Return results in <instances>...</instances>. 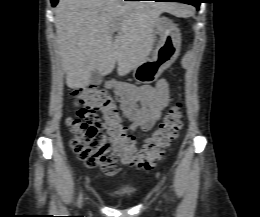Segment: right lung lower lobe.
<instances>
[{"instance_id":"right-lung-lower-lobe-1","label":"right lung lower lobe","mask_w":260,"mask_h":217,"mask_svg":"<svg viewBox=\"0 0 260 217\" xmlns=\"http://www.w3.org/2000/svg\"><path fill=\"white\" fill-rule=\"evenodd\" d=\"M51 3H52V6L54 7L58 3V0H51Z\"/></svg>"}]
</instances>
